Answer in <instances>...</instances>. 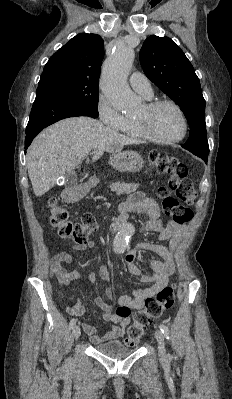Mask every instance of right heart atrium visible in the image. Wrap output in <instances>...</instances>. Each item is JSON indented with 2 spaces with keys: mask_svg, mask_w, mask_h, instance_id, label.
<instances>
[{
  "mask_svg": "<svg viewBox=\"0 0 232 399\" xmlns=\"http://www.w3.org/2000/svg\"><path fill=\"white\" fill-rule=\"evenodd\" d=\"M117 104V103H114ZM97 115L102 120V125H111L112 130L119 129L125 121V117L106 103L97 106Z\"/></svg>",
  "mask_w": 232,
  "mask_h": 399,
  "instance_id": "obj_1",
  "label": "right heart atrium"
}]
</instances>
